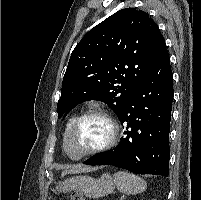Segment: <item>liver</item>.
<instances>
[{"label":"liver","instance_id":"1","mask_svg":"<svg viewBox=\"0 0 201 200\" xmlns=\"http://www.w3.org/2000/svg\"><path fill=\"white\" fill-rule=\"evenodd\" d=\"M88 168H82L81 166H74L72 169H67L62 172V176L66 174H72V173H79L81 171L87 170Z\"/></svg>","mask_w":201,"mask_h":200}]
</instances>
